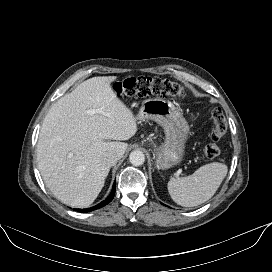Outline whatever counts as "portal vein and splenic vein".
Returning a JSON list of instances; mask_svg holds the SVG:
<instances>
[{"label": "portal vein and splenic vein", "mask_w": 272, "mask_h": 272, "mask_svg": "<svg viewBox=\"0 0 272 272\" xmlns=\"http://www.w3.org/2000/svg\"><path fill=\"white\" fill-rule=\"evenodd\" d=\"M87 113H92L91 111H88Z\"/></svg>", "instance_id": "obj_1"}]
</instances>
